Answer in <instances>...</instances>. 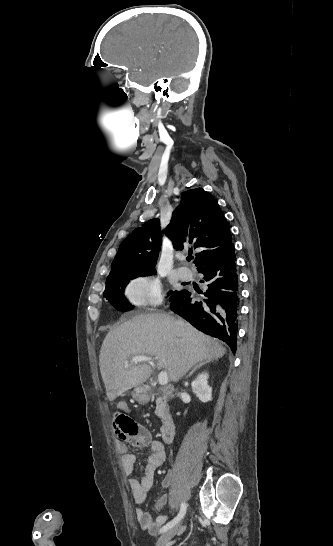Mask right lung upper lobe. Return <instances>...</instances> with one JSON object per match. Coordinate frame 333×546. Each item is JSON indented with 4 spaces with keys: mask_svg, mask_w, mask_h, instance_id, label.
Here are the masks:
<instances>
[{
    "mask_svg": "<svg viewBox=\"0 0 333 546\" xmlns=\"http://www.w3.org/2000/svg\"><path fill=\"white\" fill-rule=\"evenodd\" d=\"M181 198L183 205L173 211L164 232L177 250L203 248L194 261L198 270L232 245L230 228L216 199L202 188L188 190ZM160 247V220L151 219L121 243L111 271L155 270Z\"/></svg>",
    "mask_w": 333,
    "mask_h": 546,
    "instance_id": "right-lung-upper-lobe-1",
    "label": "right lung upper lobe"
}]
</instances>
